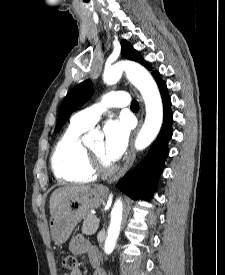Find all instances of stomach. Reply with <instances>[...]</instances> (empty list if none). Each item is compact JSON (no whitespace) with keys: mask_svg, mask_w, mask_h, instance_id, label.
Here are the masks:
<instances>
[{"mask_svg":"<svg viewBox=\"0 0 225 275\" xmlns=\"http://www.w3.org/2000/svg\"><path fill=\"white\" fill-rule=\"evenodd\" d=\"M105 194L103 187H97L61 200L50 218V231L54 242L65 243L77 224L90 214L91 210L101 205Z\"/></svg>","mask_w":225,"mask_h":275,"instance_id":"obj_1","label":"stomach"}]
</instances>
